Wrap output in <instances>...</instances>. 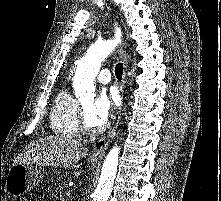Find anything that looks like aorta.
I'll return each mask as SVG.
<instances>
[{"label": "aorta", "instance_id": "1", "mask_svg": "<svg viewBox=\"0 0 221 201\" xmlns=\"http://www.w3.org/2000/svg\"><path fill=\"white\" fill-rule=\"evenodd\" d=\"M120 39L105 40L91 45L85 57L79 62L73 88L76 97L83 98L94 91V80L100 70L102 61L113 51ZM119 147L115 145L107 154L94 192L93 201H107L111 195L119 162Z\"/></svg>", "mask_w": 221, "mask_h": 201}]
</instances>
